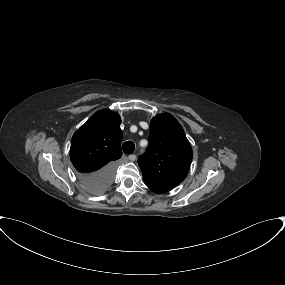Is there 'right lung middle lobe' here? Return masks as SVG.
<instances>
[{"mask_svg": "<svg viewBox=\"0 0 285 285\" xmlns=\"http://www.w3.org/2000/svg\"><path fill=\"white\" fill-rule=\"evenodd\" d=\"M105 191V190H104ZM103 192V191H102ZM102 192H92V193H102Z\"/></svg>", "mask_w": 285, "mask_h": 285, "instance_id": "obj_1", "label": "right lung middle lobe"}]
</instances>
